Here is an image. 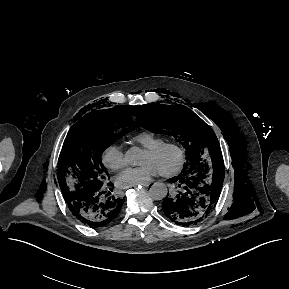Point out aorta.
Segmentation results:
<instances>
[{
    "label": "aorta",
    "mask_w": 289,
    "mask_h": 289,
    "mask_svg": "<svg viewBox=\"0 0 289 289\" xmlns=\"http://www.w3.org/2000/svg\"><path fill=\"white\" fill-rule=\"evenodd\" d=\"M143 151L138 147L130 148L126 154L125 159L128 164L137 166L141 163ZM168 192L167 186L162 182L154 183L149 190V195L154 200H162L166 197Z\"/></svg>",
    "instance_id": "obj_1"
}]
</instances>
